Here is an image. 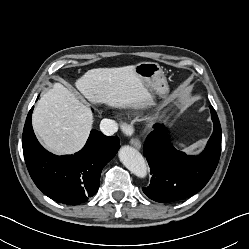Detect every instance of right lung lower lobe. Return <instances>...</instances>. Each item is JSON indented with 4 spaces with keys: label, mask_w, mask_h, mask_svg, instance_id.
<instances>
[{
    "label": "right lung lower lobe",
    "mask_w": 249,
    "mask_h": 249,
    "mask_svg": "<svg viewBox=\"0 0 249 249\" xmlns=\"http://www.w3.org/2000/svg\"><path fill=\"white\" fill-rule=\"evenodd\" d=\"M28 113L22 138L25 162L36 186L60 203L78 205L92 197L99 188L103 167L119 148L118 137H107L92 130L85 146L74 155L56 156L46 151L33 132Z\"/></svg>",
    "instance_id": "98d812e1"
}]
</instances>
